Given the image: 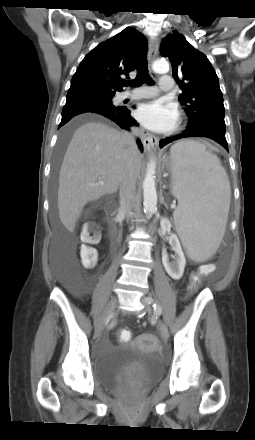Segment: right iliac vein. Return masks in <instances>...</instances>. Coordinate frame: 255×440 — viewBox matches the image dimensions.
I'll use <instances>...</instances> for the list:
<instances>
[{
	"instance_id": "63e3f726",
	"label": "right iliac vein",
	"mask_w": 255,
	"mask_h": 440,
	"mask_svg": "<svg viewBox=\"0 0 255 440\" xmlns=\"http://www.w3.org/2000/svg\"><path fill=\"white\" fill-rule=\"evenodd\" d=\"M117 304V298L113 297L106 305L102 317L99 319L96 327H95V335L99 336L103 330L104 324L108 318L111 317L113 311L115 310Z\"/></svg>"
}]
</instances>
